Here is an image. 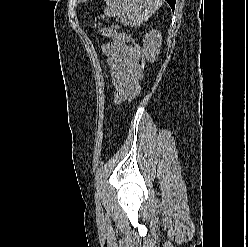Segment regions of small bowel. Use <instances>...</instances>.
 <instances>
[{
  "mask_svg": "<svg viewBox=\"0 0 248 247\" xmlns=\"http://www.w3.org/2000/svg\"><path fill=\"white\" fill-rule=\"evenodd\" d=\"M106 56L114 88L113 101L120 103L131 99L140 91L143 71L136 65V49L133 45L119 40L101 43Z\"/></svg>",
  "mask_w": 248,
  "mask_h": 247,
  "instance_id": "1",
  "label": "small bowel"
}]
</instances>
